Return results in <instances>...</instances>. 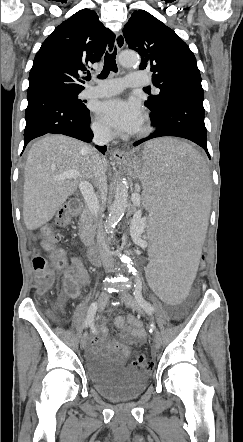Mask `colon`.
<instances>
[{
    "label": "colon",
    "instance_id": "1",
    "mask_svg": "<svg viewBox=\"0 0 243 442\" xmlns=\"http://www.w3.org/2000/svg\"><path fill=\"white\" fill-rule=\"evenodd\" d=\"M70 206L61 210L57 217V224L59 226H67L70 222V214H71ZM122 224L125 229L130 230L133 227L132 220L130 216L122 217ZM41 245L42 247L49 252L53 266L57 269H63L67 266V257L64 251L57 246V239L54 233L49 229H44L41 232ZM210 260L209 255H202L198 265L196 272L199 275L204 274L205 268ZM32 266L34 270L35 277L37 279V287L40 293L48 290L55 278L54 270L52 267L48 265L46 259L40 255L38 252H35L32 257ZM58 314L56 309L52 310V315L56 316ZM134 365L144 370H150L153 366L151 362L150 356H146L142 352H136L134 354Z\"/></svg>",
    "mask_w": 243,
    "mask_h": 442
}]
</instances>
